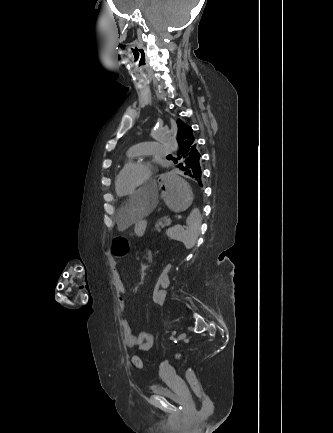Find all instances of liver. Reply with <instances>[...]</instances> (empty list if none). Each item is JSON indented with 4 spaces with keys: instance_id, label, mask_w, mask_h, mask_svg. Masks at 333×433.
<instances>
[{
    "instance_id": "liver-1",
    "label": "liver",
    "mask_w": 333,
    "mask_h": 433,
    "mask_svg": "<svg viewBox=\"0 0 333 433\" xmlns=\"http://www.w3.org/2000/svg\"><path fill=\"white\" fill-rule=\"evenodd\" d=\"M142 192H131L130 201H121L120 209L117 214L118 230L123 232L138 220H142L156 208V202L151 204V201H158L157 183H142Z\"/></svg>"
}]
</instances>
